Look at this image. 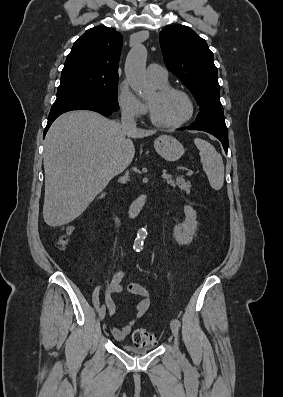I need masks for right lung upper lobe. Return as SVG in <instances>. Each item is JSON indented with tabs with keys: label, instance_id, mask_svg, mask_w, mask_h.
I'll use <instances>...</instances> for the list:
<instances>
[{
	"label": "right lung upper lobe",
	"instance_id": "1",
	"mask_svg": "<svg viewBox=\"0 0 283 397\" xmlns=\"http://www.w3.org/2000/svg\"><path fill=\"white\" fill-rule=\"evenodd\" d=\"M122 41L123 37L119 32L106 26L87 30L75 41L67 55L62 73L118 78Z\"/></svg>",
	"mask_w": 283,
	"mask_h": 397
}]
</instances>
